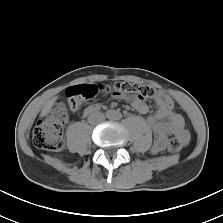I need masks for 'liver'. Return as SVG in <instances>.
I'll return each instance as SVG.
<instances>
[{
	"instance_id": "obj_1",
	"label": "liver",
	"mask_w": 223,
	"mask_h": 223,
	"mask_svg": "<svg viewBox=\"0 0 223 223\" xmlns=\"http://www.w3.org/2000/svg\"><path fill=\"white\" fill-rule=\"evenodd\" d=\"M56 100H57V97H54L45 104V106L43 107V109L41 111V117L48 114V112L51 110V108L54 105Z\"/></svg>"
}]
</instances>
